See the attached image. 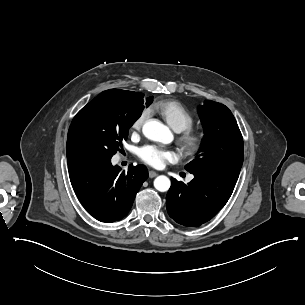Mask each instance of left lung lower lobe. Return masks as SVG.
<instances>
[{
  "mask_svg": "<svg viewBox=\"0 0 305 305\" xmlns=\"http://www.w3.org/2000/svg\"><path fill=\"white\" fill-rule=\"evenodd\" d=\"M190 173L194 175V179L187 185L171 179L166 205L169 216L175 222L188 227H199L224 207L239 175Z\"/></svg>",
  "mask_w": 305,
  "mask_h": 305,
  "instance_id": "left-lung-lower-lobe-1",
  "label": "left lung lower lobe"
}]
</instances>
